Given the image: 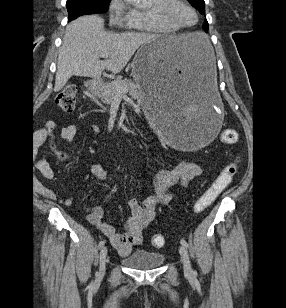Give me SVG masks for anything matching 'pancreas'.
<instances>
[{
  "label": "pancreas",
  "mask_w": 286,
  "mask_h": 308,
  "mask_svg": "<svg viewBox=\"0 0 286 308\" xmlns=\"http://www.w3.org/2000/svg\"><path fill=\"white\" fill-rule=\"evenodd\" d=\"M117 86H122L126 88L127 92L125 93H129L132 98L140 100L143 97V90L139 85L135 84L131 80L117 78L116 80L99 88L98 96L103 103L111 104L114 101V99L118 95Z\"/></svg>",
  "instance_id": "cf45deb5"
}]
</instances>
